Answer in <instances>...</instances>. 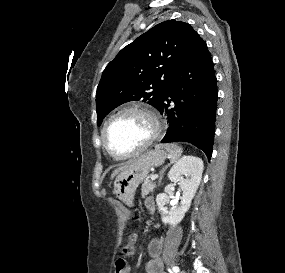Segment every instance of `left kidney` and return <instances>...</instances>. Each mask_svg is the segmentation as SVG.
Segmentation results:
<instances>
[{"label": "left kidney", "instance_id": "5707ae66", "mask_svg": "<svg viewBox=\"0 0 285 273\" xmlns=\"http://www.w3.org/2000/svg\"><path fill=\"white\" fill-rule=\"evenodd\" d=\"M203 167V161L195 156H183L172 166L168 173V178L171 182L179 184L183 191V195L180 206L173 207L170 211L165 208V205L169 202V197L165 193L157 195L156 203L164 224H169L175 227L182 221L185 213L191 206V201L200 184Z\"/></svg>", "mask_w": 285, "mask_h": 273}]
</instances>
